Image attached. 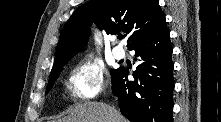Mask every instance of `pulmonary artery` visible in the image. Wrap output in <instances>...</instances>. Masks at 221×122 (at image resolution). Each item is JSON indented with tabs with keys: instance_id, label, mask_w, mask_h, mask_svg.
Segmentation results:
<instances>
[{
	"instance_id": "e3ab8cb5",
	"label": "pulmonary artery",
	"mask_w": 221,
	"mask_h": 122,
	"mask_svg": "<svg viewBox=\"0 0 221 122\" xmlns=\"http://www.w3.org/2000/svg\"><path fill=\"white\" fill-rule=\"evenodd\" d=\"M112 53H113V56L118 60L125 57L124 49L119 46L114 47L112 50Z\"/></svg>"
}]
</instances>
